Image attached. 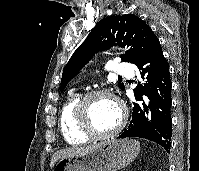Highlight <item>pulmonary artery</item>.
Instances as JSON below:
<instances>
[{
  "instance_id": "obj_1",
  "label": "pulmonary artery",
  "mask_w": 199,
  "mask_h": 171,
  "mask_svg": "<svg viewBox=\"0 0 199 171\" xmlns=\"http://www.w3.org/2000/svg\"><path fill=\"white\" fill-rule=\"evenodd\" d=\"M110 70L112 73L120 76H131L133 75V70L131 64L121 63L118 61H113Z\"/></svg>"
}]
</instances>
